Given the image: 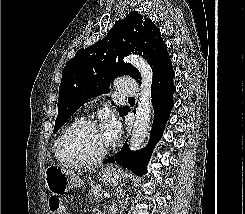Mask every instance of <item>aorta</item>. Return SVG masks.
I'll list each match as a JSON object with an SVG mask.
<instances>
[{"instance_id":"obj_1","label":"aorta","mask_w":245,"mask_h":214,"mask_svg":"<svg viewBox=\"0 0 245 214\" xmlns=\"http://www.w3.org/2000/svg\"><path fill=\"white\" fill-rule=\"evenodd\" d=\"M141 74V91L136 109L135 121L130 139V149L135 151L141 147L150 128L151 116V85L153 73L147 62L139 56L131 55L126 58Z\"/></svg>"}]
</instances>
